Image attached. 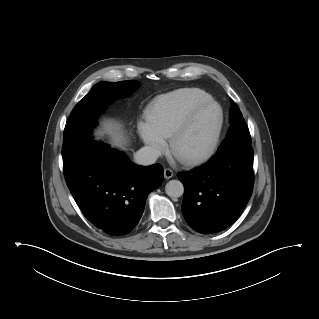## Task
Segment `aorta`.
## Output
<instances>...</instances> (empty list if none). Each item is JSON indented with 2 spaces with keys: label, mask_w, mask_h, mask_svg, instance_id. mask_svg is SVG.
<instances>
[{
  "label": "aorta",
  "mask_w": 319,
  "mask_h": 319,
  "mask_svg": "<svg viewBox=\"0 0 319 319\" xmlns=\"http://www.w3.org/2000/svg\"><path fill=\"white\" fill-rule=\"evenodd\" d=\"M166 194L172 198H178L184 193V186L179 180H170L165 185Z\"/></svg>",
  "instance_id": "762f6f07"
}]
</instances>
